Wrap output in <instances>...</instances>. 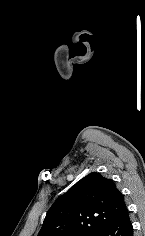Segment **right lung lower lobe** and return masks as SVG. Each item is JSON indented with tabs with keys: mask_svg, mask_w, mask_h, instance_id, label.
I'll return each mask as SVG.
<instances>
[{
	"mask_svg": "<svg viewBox=\"0 0 145 236\" xmlns=\"http://www.w3.org/2000/svg\"><path fill=\"white\" fill-rule=\"evenodd\" d=\"M95 236H133V226L126 209Z\"/></svg>",
	"mask_w": 145,
	"mask_h": 236,
	"instance_id": "obj_1",
	"label": "right lung lower lobe"
}]
</instances>
